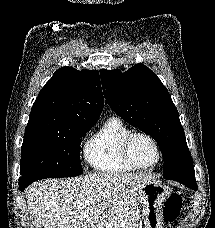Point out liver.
<instances>
[{
    "instance_id": "6515ba94",
    "label": "liver",
    "mask_w": 215,
    "mask_h": 228,
    "mask_svg": "<svg viewBox=\"0 0 215 228\" xmlns=\"http://www.w3.org/2000/svg\"><path fill=\"white\" fill-rule=\"evenodd\" d=\"M147 174L95 172L41 180L25 192L34 224L43 228H139L137 192Z\"/></svg>"
}]
</instances>
